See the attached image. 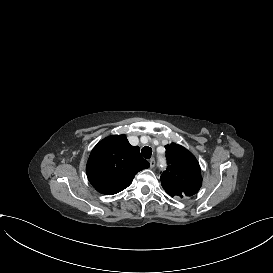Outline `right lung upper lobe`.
<instances>
[{
    "instance_id": "obj_1",
    "label": "right lung upper lobe",
    "mask_w": 273,
    "mask_h": 273,
    "mask_svg": "<svg viewBox=\"0 0 273 273\" xmlns=\"http://www.w3.org/2000/svg\"><path fill=\"white\" fill-rule=\"evenodd\" d=\"M149 166L138 146H131L125 135H114L93 148L86 173L98 192L113 195L127 188L134 176Z\"/></svg>"
}]
</instances>
